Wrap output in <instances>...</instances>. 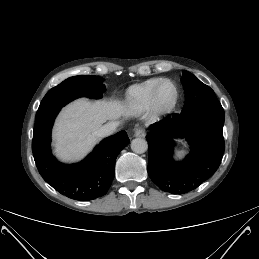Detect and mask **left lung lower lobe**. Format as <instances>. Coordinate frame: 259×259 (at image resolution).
Segmentation results:
<instances>
[{"label": "left lung lower lobe", "mask_w": 259, "mask_h": 259, "mask_svg": "<svg viewBox=\"0 0 259 259\" xmlns=\"http://www.w3.org/2000/svg\"><path fill=\"white\" fill-rule=\"evenodd\" d=\"M222 106L198 109L154 123L146 138L148 174L164 192L184 194L210 178L220 165L225 143ZM173 137L185 138L191 152L183 161L172 158Z\"/></svg>", "instance_id": "obj_1"}]
</instances>
